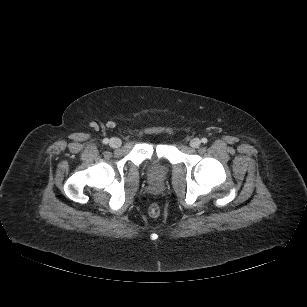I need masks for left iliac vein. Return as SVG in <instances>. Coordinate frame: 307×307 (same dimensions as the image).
Wrapping results in <instances>:
<instances>
[{
    "label": "left iliac vein",
    "instance_id": "4c4485c4",
    "mask_svg": "<svg viewBox=\"0 0 307 307\" xmlns=\"http://www.w3.org/2000/svg\"><path fill=\"white\" fill-rule=\"evenodd\" d=\"M201 144V140L198 139V138H194L190 141V145L193 147V148H198Z\"/></svg>",
    "mask_w": 307,
    "mask_h": 307
}]
</instances>
